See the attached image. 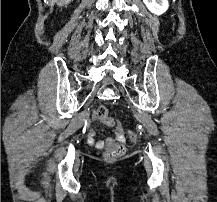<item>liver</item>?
I'll return each mask as SVG.
<instances>
[{"instance_id":"1","label":"liver","mask_w":217,"mask_h":202,"mask_svg":"<svg viewBox=\"0 0 217 202\" xmlns=\"http://www.w3.org/2000/svg\"><path fill=\"white\" fill-rule=\"evenodd\" d=\"M51 4H57V6H68L73 0H50Z\"/></svg>"}]
</instances>
